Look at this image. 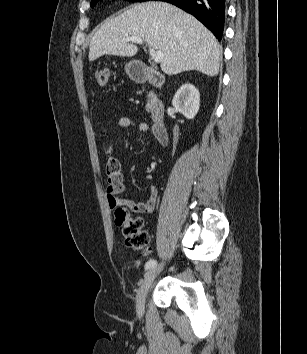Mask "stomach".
<instances>
[{
	"label": "stomach",
	"mask_w": 307,
	"mask_h": 354,
	"mask_svg": "<svg viewBox=\"0 0 307 354\" xmlns=\"http://www.w3.org/2000/svg\"><path fill=\"white\" fill-rule=\"evenodd\" d=\"M125 70L129 77L135 79L140 75V68L136 61H130L125 65Z\"/></svg>",
	"instance_id": "0dacf381"
}]
</instances>
